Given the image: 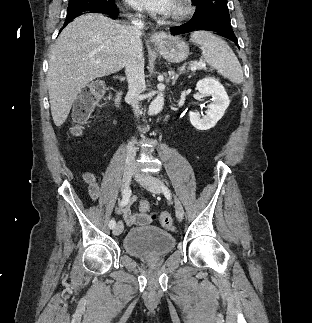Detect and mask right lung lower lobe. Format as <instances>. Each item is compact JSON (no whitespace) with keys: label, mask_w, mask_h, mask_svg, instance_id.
I'll use <instances>...</instances> for the list:
<instances>
[{"label":"right lung lower lobe","mask_w":312,"mask_h":323,"mask_svg":"<svg viewBox=\"0 0 312 323\" xmlns=\"http://www.w3.org/2000/svg\"><path fill=\"white\" fill-rule=\"evenodd\" d=\"M90 12H96V13H104V14H108L111 18L113 19H117L118 15H119V11L116 8H108V9H103V8H97V9H92L90 10ZM82 13H78V14H73L71 16H67L66 20L64 22V26L63 28L70 23L75 17L81 15ZM62 28V29H63ZM61 29V30H62Z\"/></svg>","instance_id":"1"}]
</instances>
